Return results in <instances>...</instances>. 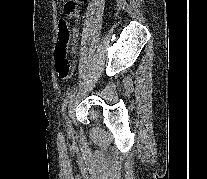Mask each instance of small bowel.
Here are the masks:
<instances>
[{
  "label": "small bowel",
  "mask_w": 207,
  "mask_h": 179,
  "mask_svg": "<svg viewBox=\"0 0 207 179\" xmlns=\"http://www.w3.org/2000/svg\"><path fill=\"white\" fill-rule=\"evenodd\" d=\"M82 5V1L81 0H78V8ZM67 15L69 17H77L78 16V10L74 13H67Z\"/></svg>",
  "instance_id": "small-bowel-1"
}]
</instances>
